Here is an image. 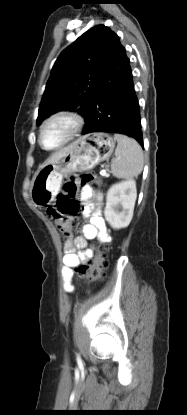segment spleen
<instances>
[{
  "instance_id": "obj_1",
  "label": "spleen",
  "mask_w": 187,
  "mask_h": 415,
  "mask_svg": "<svg viewBox=\"0 0 187 415\" xmlns=\"http://www.w3.org/2000/svg\"><path fill=\"white\" fill-rule=\"evenodd\" d=\"M117 141L115 158L111 161V172L117 178H131L138 176L144 166V157L141 146L134 139L126 135L115 134Z\"/></svg>"
}]
</instances>
